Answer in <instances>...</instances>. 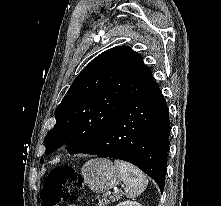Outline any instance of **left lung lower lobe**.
<instances>
[{
  "instance_id": "left-lung-lower-lobe-1",
  "label": "left lung lower lobe",
  "mask_w": 221,
  "mask_h": 206,
  "mask_svg": "<svg viewBox=\"0 0 221 206\" xmlns=\"http://www.w3.org/2000/svg\"><path fill=\"white\" fill-rule=\"evenodd\" d=\"M169 135L167 104L154 82L94 142L78 153L130 162L152 177L163 192Z\"/></svg>"
}]
</instances>
